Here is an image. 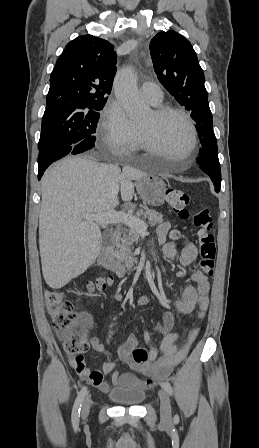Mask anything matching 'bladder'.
<instances>
[{
    "mask_svg": "<svg viewBox=\"0 0 259 448\" xmlns=\"http://www.w3.org/2000/svg\"><path fill=\"white\" fill-rule=\"evenodd\" d=\"M145 396V391L137 386L114 388L108 394L112 402L123 406L139 405L144 401Z\"/></svg>",
    "mask_w": 259,
    "mask_h": 448,
    "instance_id": "obj_1",
    "label": "bladder"
}]
</instances>
